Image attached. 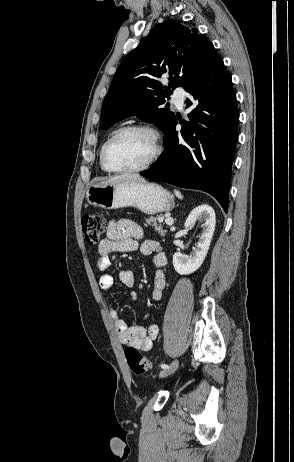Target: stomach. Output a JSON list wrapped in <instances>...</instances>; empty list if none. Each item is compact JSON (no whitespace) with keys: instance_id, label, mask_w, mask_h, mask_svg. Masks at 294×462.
Masks as SVG:
<instances>
[{"instance_id":"0dacf381","label":"stomach","mask_w":294,"mask_h":462,"mask_svg":"<svg viewBox=\"0 0 294 462\" xmlns=\"http://www.w3.org/2000/svg\"><path fill=\"white\" fill-rule=\"evenodd\" d=\"M86 198L90 205L104 209L136 207L149 215L169 212L175 205L173 195L160 185L136 180L91 186Z\"/></svg>"}]
</instances>
